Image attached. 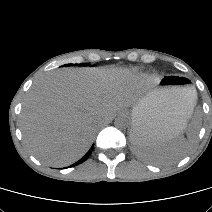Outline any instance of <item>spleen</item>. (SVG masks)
<instances>
[{
  "instance_id": "3e777b00",
  "label": "spleen",
  "mask_w": 212,
  "mask_h": 212,
  "mask_svg": "<svg viewBox=\"0 0 212 212\" xmlns=\"http://www.w3.org/2000/svg\"><path fill=\"white\" fill-rule=\"evenodd\" d=\"M197 100V92L194 87H186L179 93V101L184 110L185 121L192 115ZM185 124V122H184ZM200 125L193 126L188 132L186 139L177 136L170 140L152 138L145 132V127L140 123L135 127L138 131L137 155L145 161L158 164L170 165L185 156L192 143L196 140Z\"/></svg>"
}]
</instances>
